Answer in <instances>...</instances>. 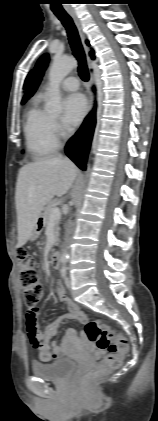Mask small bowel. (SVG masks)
Segmentation results:
<instances>
[{"label":"small bowel","mask_w":158,"mask_h":421,"mask_svg":"<svg viewBox=\"0 0 158 421\" xmlns=\"http://www.w3.org/2000/svg\"><path fill=\"white\" fill-rule=\"evenodd\" d=\"M55 292L58 300L65 304L68 310L64 319L76 320L82 323L83 314L81 313L79 307L67 297L65 288L61 282H56ZM61 321V319L51 321L46 324L43 330H41L37 324L35 312L29 310L27 315V331L31 344L38 349L42 347L48 348L55 357H60L63 353V346L55 341L51 342L50 340L57 334ZM77 340L78 336L76 331L74 329H68L62 338V343L66 345L76 342Z\"/></svg>","instance_id":"small-bowel-1"}]
</instances>
